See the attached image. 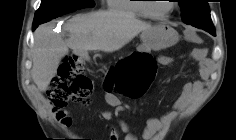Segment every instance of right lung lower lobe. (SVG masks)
I'll return each mask as SVG.
<instances>
[{"mask_svg": "<svg viewBox=\"0 0 236 140\" xmlns=\"http://www.w3.org/2000/svg\"><path fill=\"white\" fill-rule=\"evenodd\" d=\"M36 27H37L36 25H33L32 30L34 31L36 29Z\"/></svg>", "mask_w": 236, "mask_h": 140, "instance_id": "98d812e1", "label": "right lung lower lobe"}]
</instances>
